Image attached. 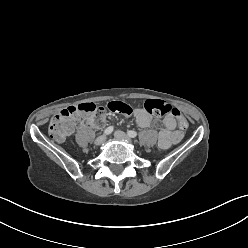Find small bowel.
Masks as SVG:
<instances>
[{
	"instance_id": "1",
	"label": "small bowel",
	"mask_w": 248,
	"mask_h": 248,
	"mask_svg": "<svg viewBox=\"0 0 248 248\" xmlns=\"http://www.w3.org/2000/svg\"><path fill=\"white\" fill-rule=\"evenodd\" d=\"M134 117L137 125L142 128L149 127L153 123L152 117L140 108L134 110ZM87 122L91 123L89 120ZM162 122L163 128L158 133V145L162 149H168L180 141L181 133L175 130L176 120L173 115L168 114Z\"/></svg>"
}]
</instances>
